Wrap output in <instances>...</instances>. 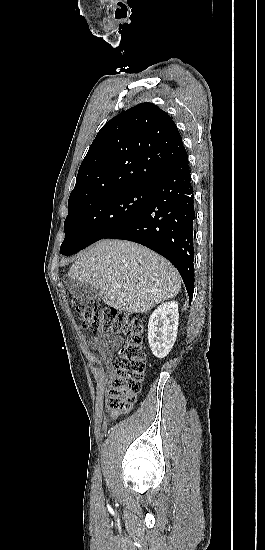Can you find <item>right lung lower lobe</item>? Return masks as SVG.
<instances>
[{
  "label": "right lung lower lobe",
  "mask_w": 265,
  "mask_h": 550,
  "mask_svg": "<svg viewBox=\"0 0 265 550\" xmlns=\"http://www.w3.org/2000/svg\"><path fill=\"white\" fill-rule=\"evenodd\" d=\"M194 219V193L185 153L154 181L144 210L105 238L137 242L167 258L179 271L191 301Z\"/></svg>",
  "instance_id": "98d812e1"
}]
</instances>
